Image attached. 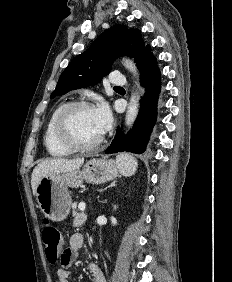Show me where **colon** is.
Masks as SVG:
<instances>
[{"instance_id":"obj_1","label":"colon","mask_w":232,"mask_h":282,"mask_svg":"<svg viewBox=\"0 0 232 282\" xmlns=\"http://www.w3.org/2000/svg\"><path fill=\"white\" fill-rule=\"evenodd\" d=\"M42 240L45 247V255L49 263L55 264L63 257L62 237L60 231L54 226L46 223L42 231Z\"/></svg>"}]
</instances>
